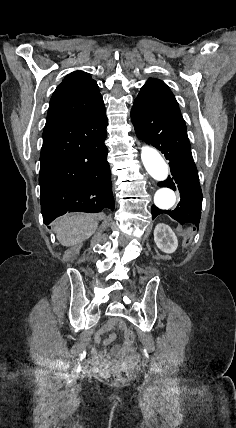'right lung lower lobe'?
<instances>
[{
  "mask_svg": "<svg viewBox=\"0 0 236 428\" xmlns=\"http://www.w3.org/2000/svg\"><path fill=\"white\" fill-rule=\"evenodd\" d=\"M107 124L104 109L44 128L39 183L45 224L67 212L114 209Z\"/></svg>",
  "mask_w": 236,
  "mask_h": 428,
  "instance_id": "98d812e1",
  "label": "right lung lower lobe"
}]
</instances>
